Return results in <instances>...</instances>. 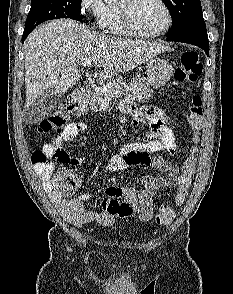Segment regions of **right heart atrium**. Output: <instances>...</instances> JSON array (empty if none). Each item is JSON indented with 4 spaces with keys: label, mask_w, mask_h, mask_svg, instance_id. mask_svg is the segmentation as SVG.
<instances>
[{
    "label": "right heart atrium",
    "mask_w": 233,
    "mask_h": 294,
    "mask_svg": "<svg viewBox=\"0 0 233 294\" xmlns=\"http://www.w3.org/2000/svg\"><path fill=\"white\" fill-rule=\"evenodd\" d=\"M109 6L104 0H80V12L98 28H105Z\"/></svg>",
    "instance_id": "right-heart-atrium-1"
}]
</instances>
